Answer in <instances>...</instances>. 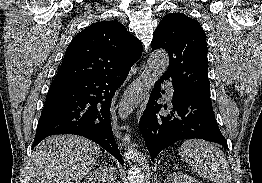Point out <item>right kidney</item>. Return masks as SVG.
Masks as SVG:
<instances>
[{
    "instance_id": "ca27d5eb",
    "label": "right kidney",
    "mask_w": 262,
    "mask_h": 183,
    "mask_svg": "<svg viewBox=\"0 0 262 183\" xmlns=\"http://www.w3.org/2000/svg\"><path fill=\"white\" fill-rule=\"evenodd\" d=\"M116 174L112 167H100L89 173L82 183H118Z\"/></svg>"
}]
</instances>
